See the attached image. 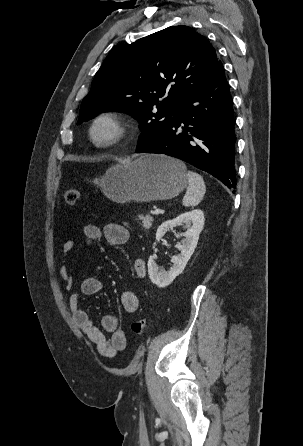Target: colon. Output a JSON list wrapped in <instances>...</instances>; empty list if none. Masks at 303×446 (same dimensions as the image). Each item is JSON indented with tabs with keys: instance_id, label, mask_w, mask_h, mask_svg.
<instances>
[{
	"instance_id": "obj_1",
	"label": "colon",
	"mask_w": 303,
	"mask_h": 446,
	"mask_svg": "<svg viewBox=\"0 0 303 446\" xmlns=\"http://www.w3.org/2000/svg\"><path fill=\"white\" fill-rule=\"evenodd\" d=\"M65 202L68 205L74 206L79 202L80 195L76 189H68L64 194ZM146 321L141 318L132 323V331L137 336H142L146 330Z\"/></svg>"
}]
</instances>
